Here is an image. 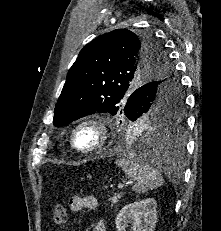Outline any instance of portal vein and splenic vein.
<instances>
[{
    "label": "portal vein and splenic vein",
    "instance_id": "1",
    "mask_svg": "<svg viewBox=\"0 0 221 231\" xmlns=\"http://www.w3.org/2000/svg\"><path fill=\"white\" fill-rule=\"evenodd\" d=\"M123 187H124V184H123V183H119V184H118V189H123Z\"/></svg>",
    "mask_w": 221,
    "mask_h": 231
}]
</instances>
